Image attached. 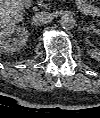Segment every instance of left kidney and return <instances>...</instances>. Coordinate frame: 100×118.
Returning a JSON list of instances; mask_svg holds the SVG:
<instances>
[{
	"instance_id": "5707ae66",
	"label": "left kidney",
	"mask_w": 100,
	"mask_h": 118,
	"mask_svg": "<svg viewBox=\"0 0 100 118\" xmlns=\"http://www.w3.org/2000/svg\"><path fill=\"white\" fill-rule=\"evenodd\" d=\"M88 55L95 59V60H100V52L97 51L96 49H91V50H88Z\"/></svg>"
}]
</instances>
